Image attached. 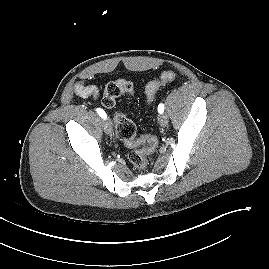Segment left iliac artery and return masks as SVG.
I'll list each match as a JSON object with an SVG mask.
<instances>
[{
  "label": "left iliac artery",
  "mask_w": 269,
  "mask_h": 269,
  "mask_svg": "<svg viewBox=\"0 0 269 269\" xmlns=\"http://www.w3.org/2000/svg\"><path fill=\"white\" fill-rule=\"evenodd\" d=\"M164 104L163 103H160L159 104V106H158V112L160 113V114H162L163 112H164Z\"/></svg>",
  "instance_id": "44dca946"
}]
</instances>
